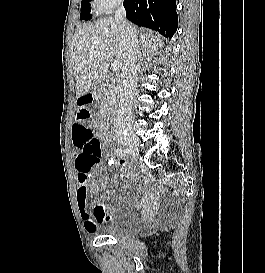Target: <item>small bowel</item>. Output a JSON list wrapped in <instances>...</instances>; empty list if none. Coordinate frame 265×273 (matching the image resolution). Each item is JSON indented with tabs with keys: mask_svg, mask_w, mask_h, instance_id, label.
<instances>
[{
	"mask_svg": "<svg viewBox=\"0 0 265 273\" xmlns=\"http://www.w3.org/2000/svg\"><path fill=\"white\" fill-rule=\"evenodd\" d=\"M92 99L84 95L77 101V120L72 126V146L74 156V166L77 180V205L80 212V216L84 222L85 230L94 234L97 232L100 224L104 223L110 216V210L105 204L102 196L99 192L100 185H108L115 183L116 180L108 176L100 177L95 183H90L92 169H85V166L81 167V159L84 156L85 148L83 146H77V139L79 136L78 129H89V124H84L89 120L92 113ZM121 166L120 176H124L128 168V160L121 157L119 160ZM91 198L94 201V205H90Z\"/></svg>",
	"mask_w": 265,
	"mask_h": 273,
	"instance_id": "1",
	"label": "small bowel"
}]
</instances>
